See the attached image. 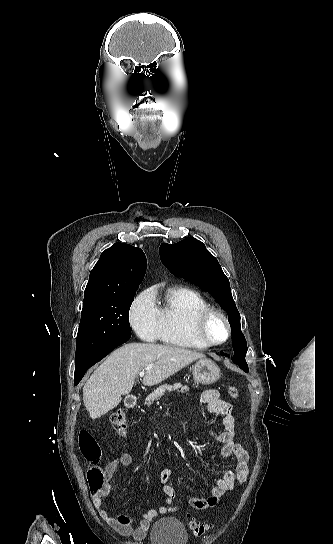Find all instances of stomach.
<instances>
[{"mask_svg":"<svg viewBox=\"0 0 333 544\" xmlns=\"http://www.w3.org/2000/svg\"><path fill=\"white\" fill-rule=\"evenodd\" d=\"M193 377L200 384H212L221 377L219 367L208 358H202L193 366Z\"/></svg>","mask_w":333,"mask_h":544,"instance_id":"1","label":"stomach"}]
</instances>
